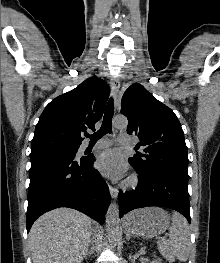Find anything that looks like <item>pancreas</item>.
<instances>
[{
	"mask_svg": "<svg viewBox=\"0 0 220 263\" xmlns=\"http://www.w3.org/2000/svg\"><path fill=\"white\" fill-rule=\"evenodd\" d=\"M161 250L163 253H166L169 251L168 244L166 243L165 245L161 246ZM166 258L171 259V256L169 254H165Z\"/></svg>",
	"mask_w": 220,
	"mask_h": 263,
	"instance_id": "cf45deb5",
	"label": "pancreas"
}]
</instances>
